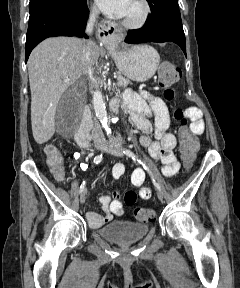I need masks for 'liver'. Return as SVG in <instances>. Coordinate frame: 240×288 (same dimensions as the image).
<instances>
[{"label": "liver", "mask_w": 240, "mask_h": 288, "mask_svg": "<svg viewBox=\"0 0 240 288\" xmlns=\"http://www.w3.org/2000/svg\"><path fill=\"white\" fill-rule=\"evenodd\" d=\"M84 43L74 37H52L42 41L30 54L31 124L38 144L47 142L55 132V113L62 94L85 75ZM100 54L101 49L95 44L91 49L92 65Z\"/></svg>", "instance_id": "1"}]
</instances>
